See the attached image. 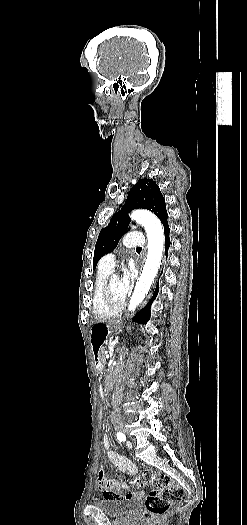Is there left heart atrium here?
I'll return each mask as SVG.
<instances>
[{
    "mask_svg": "<svg viewBox=\"0 0 247 525\" xmlns=\"http://www.w3.org/2000/svg\"><path fill=\"white\" fill-rule=\"evenodd\" d=\"M131 261L135 262L133 258H130ZM134 268H125L122 278L120 279L119 287H118V293L119 295L124 298L126 297L132 288L133 284V277L131 274V271Z\"/></svg>",
    "mask_w": 247,
    "mask_h": 525,
    "instance_id": "left-heart-atrium-1",
    "label": "left heart atrium"
}]
</instances>
